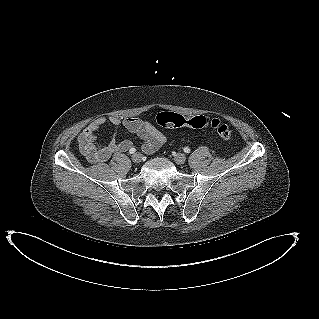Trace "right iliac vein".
Segmentation results:
<instances>
[{"label":"right iliac vein","mask_w":319,"mask_h":319,"mask_svg":"<svg viewBox=\"0 0 319 319\" xmlns=\"http://www.w3.org/2000/svg\"><path fill=\"white\" fill-rule=\"evenodd\" d=\"M131 159L134 163H140L142 161V154L135 153Z\"/></svg>","instance_id":"63e3f726"}]
</instances>
